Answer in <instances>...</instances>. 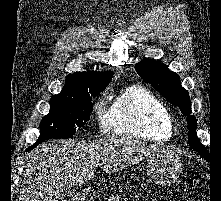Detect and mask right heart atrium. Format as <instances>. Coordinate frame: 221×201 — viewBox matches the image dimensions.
Returning <instances> with one entry per match:
<instances>
[{
    "label": "right heart atrium",
    "instance_id": "d8ad5b80",
    "mask_svg": "<svg viewBox=\"0 0 221 201\" xmlns=\"http://www.w3.org/2000/svg\"><path fill=\"white\" fill-rule=\"evenodd\" d=\"M96 122L102 132L110 129V112L104 98H100L93 107Z\"/></svg>",
    "mask_w": 221,
    "mask_h": 201
}]
</instances>
